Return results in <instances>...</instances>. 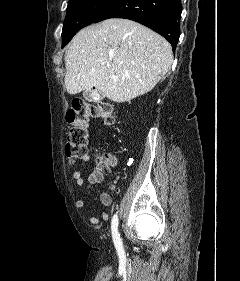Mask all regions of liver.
<instances>
[{
	"instance_id": "liver-1",
	"label": "liver",
	"mask_w": 240,
	"mask_h": 281,
	"mask_svg": "<svg viewBox=\"0 0 240 281\" xmlns=\"http://www.w3.org/2000/svg\"><path fill=\"white\" fill-rule=\"evenodd\" d=\"M171 45L129 19H107L81 29L65 55L69 94L93 87L122 103L151 91L170 69Z\"/></svg>"
}]
</instances>
